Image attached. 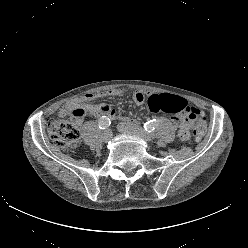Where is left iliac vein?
Listing matches in <instances>:
<instances>
[{"label": "left iliac vein", "instance_id": "1", "mask_svg": "<svg viewBox=\"0 0 248 248\" xmlns=\"http://www.w3.org/2000/svg\"><path fill=\"white\" fill-rule=\"evenodd\" d=\"M118 130L124 134L137 136V137L143 139L144 141H146L147 143H152V141H153V136L151 134L147 133L142 128L135 126L129 122L120 123L118 125Z\"/></svg>", "mask_w": 248, "mask_h": 248}]
</instances>
